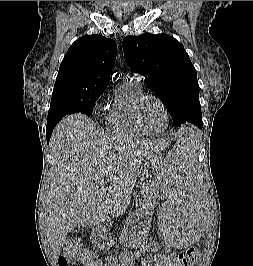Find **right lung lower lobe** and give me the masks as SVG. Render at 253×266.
<instances>
[{
  "label": "right lung lower lobe",
  "instance_id": "right-lung-lower-lobe-1",
  "mask_svg": "<svg viewBox=\"0 0 253 266\" xmlns=\"http://www.w3.org/2000/svg\"><path fill=\"white\" fill-rule=\"evenodd\" d=\"M59 122V121H58ZM58 122H53V123H47V128H46V139H47V142L49 143V140H50V137H51V134H52V131L53 129L55 128L56 124Z\"/></svg>",
  "mask_w": 253,
  "mask_h": 266
}]
</instances>
